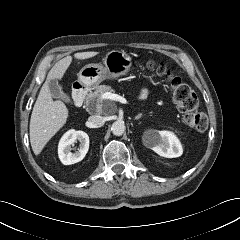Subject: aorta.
<instances>
[{
    "mask_svg": "<svg viewBox=\"0 0 240 240\" xmlns=\"http://www.w3.org/2000/svg\"><path fill=\"white\" fill-rule=\"evenodd\" d=\"M125 124L122 121H115L111 126V131L115 136H121L125 132Z\"/></svg>",
    "mask_w": 240,
    "mask_h": 240,
    "instance_id": "aorta-1",
    "label": "aorta"
}]
</instances>
